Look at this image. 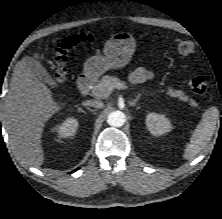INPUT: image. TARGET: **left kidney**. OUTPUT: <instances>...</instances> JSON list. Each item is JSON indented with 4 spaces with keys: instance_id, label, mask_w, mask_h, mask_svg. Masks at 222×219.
I'll return each instance as SVG.
<instances>
[{
    "instance_id": "left-kidney-1",
    "label": "left kidney",
    "mask_w": 222,
    "mask_h": 219,
    "mask_svg": "<svg viewBox=\"0 0 222 219\" xmlns=\"http://www.w3.org/2000/svg\"><path fill=\"white\" fill-rule=\"evenodd\" d=\"M146 126L151 134L160 136L172 128L170 120L164 114L151 112L146 117Z\"/></svg>"
}]
</instances>
